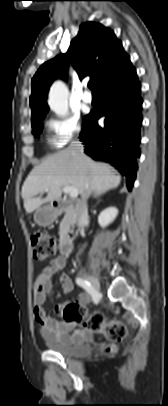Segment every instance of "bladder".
I'll return each instance as SVG.
<instances>
[{
    "label": "bladder",
    "instance_id": "bladder-1",
    "mask_svg": "<svg viewBox=\"0 0 168 406\" xmlns=\"http://www.w3.org/2000/svg\"><path fill=\"white\" fill-rule=\"evenodd\" d=\"M45 343L49 350L65 357H85L92 351L91 345L87 342L58 343L45 338Z\"/></svg>",
    "mask_w": 168,
    "mask_h": 406
}]
</instances>
